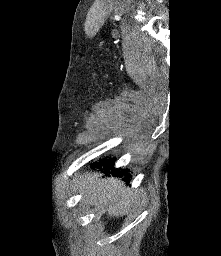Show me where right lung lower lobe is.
<instances>
[{
    "label": "right lung lower lobe",
    "instance_id": "obj_1",
    "mask_svg": "<svg viewBox=\"0 0 221 256\" xmlns=\"http://www.w3.org/2000/svg\"><path fill=\"white\" fill-rule=\"evenodd\" d=\"M114 159H109V160H100L99 163L95 164H91V167L95 168L97 166H102L103 167V170L104 172L108 173L110 170L113 171L114 173H112L113 175H116V176H119V177H123L125 176V178H123L125 181H129V178L131 177L130 174H127V170H117L113 167L114 165Z\"/></svg>",
    "mask_w": 221,
    "mask_h": 256
}]
</instances>
